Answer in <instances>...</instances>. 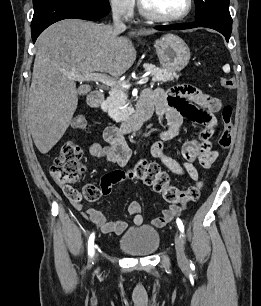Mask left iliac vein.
Wrapping results in <instances>:
<instances>
[{
  "mask_svg": "<svg viewBox=\"0 0 261 306\" xmlns=\"http://www.w3.org/2000/svg\"><path fill=\"white\" fill-rule=\"evenodd\" d=\"M175 249L179 266L186 267L188 265V260L184 252L183 237L180 234H176L175 236Z\"/></svg>",
  "mask_w": 261,
  "mask_h": 306,
  "instance_id": "1",
  "label": "left iliac vein"
}]
</instances>
